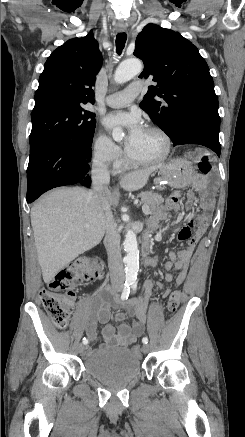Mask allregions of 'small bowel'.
Listing matches in <instances>:
<instances>
[{
  "label": "small bowel",
  "mask_w": 245,
  "mask_h": 437,
  "mask_svg": "<svg viewBox=\"0 0 245 437\" xmlns=\"http://www.w3.org/2000/svg\"><path fill=\"white\" fill-rule=\"evenodd\" d=\"M192 157L195 155L193 152L190 154ZM193 188L202 195V206L209 207L211 205V196L215 187L210 185L208 179L204 176H196L193 181ZM168 207L175 211L180 210L178 203L168 202L167 206L161 207L153 218V224H157L161 220L166 218ZM187 209L190 212H194L193 200L190 198L187 202ZM209 215L201 213L196 218L191 219L186 225H184L178 232V240L185 242V246L177 253L170 252L169 259L165 263V268L168 271L165 275L166 282L174 281L175 286H181L187 276L190 259L194 252L195 246L199 239L205 233L209 225ZM194 232L192 233V230ZM157 256L151 257L152 265L155 264ZM178 272L175 277V272ZM157 287L162 289V284H156L152 280L146 281L143 286V294L137 299L130 300L125 310L118 311L114 316L116 326L110 324L111 310L110 301L107 297V288L101 289L96 293L90 301V313L88 315L86 324V334L90 341L93 343L97 338L98 325L102 324L101 329L102 337L105 341L103 348L121 347L125 348L131 344H134L136 340L144 333L145 323L147 318V303L148 293ZM171 289L164 290V296L170 293ZM126 314L133 317V323L130 327L124 322ZM94 348L90 346L85 354L86 357L91 356L94 353Z\"/></svg>",
  "instance_id": "obj_1"
}]
</instances>
